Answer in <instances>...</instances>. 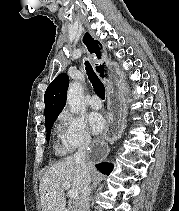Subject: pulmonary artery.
Wrapping results in <instances>:
<instances>
[{
  "label": "pulmonary artery",
  "mask_w": 179,
  "mask_h": 211,
  "mask_svg": "<svg viewBox=\"0 0 179 211\" xmlns=\"http://www.w3.org/2000/svg\"><path fill=\"white\" fill-rule=\"evenodd\" d=\"M89 103L92 109L98 110L102 108V101L96 94L91 97Z\"/></svg>",
  "instance_id": "pulmonary-artery-1"
}]
</instances>
